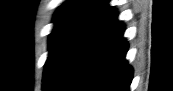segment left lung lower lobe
Here are the masks:
<instances>
[{
    "label": "left lung lower lobe",
    "instance_id": "0a47b994",
    "mask_svg": "<svg viewBox=\"0 0 173 91\" xmlns=\"http://www.w3.org/2000/svg\"><path fill=\"white\" fill-rule=\"evenodd\" d=\"M110 11L79 44L51 91H129L133 69L125 59L124 26Z\"/></svg>",
    "mask_w": 173,
    "mask_h": 91
}]
</instances>
